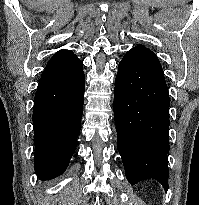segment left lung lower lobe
Returning <instances> with one entry per match:
<instances>
[{
  "mask_svg": "<svg viewBox=\"0 0 199 205\" xmlns=\"http://www.w3.org/2000/svg\"><path fill=\"white\" fill-rule=\"evenodd\" d=\"M169 106L157 56L144 46L127 51L115 79L114 118L130 184L155 179L168 189Z\"/></svg>",
  "mask_w": 199,
  "mask_h": 205,
  "instance_id": "left-lung-lower-lobe-1",
  "label": "left lung lower lobe"
}]
</instances>
